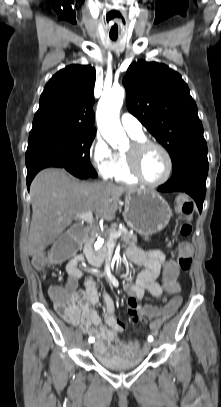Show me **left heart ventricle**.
I'll list each match as a JSON object with an SVG mask.
<instances>
[{
	"label": "left heart ventricle",
	"mask_w": 221,
	"mask_h": 407,
	"mask_svg": "<svg viewBox=\"0 0 221 407\" xmlns=\"http://www.w3.org/2000/svg\"><path fill=\"white\" fill-rule=\"evenodd\" d=\"M140 166L143 175L151 181L164 178L168 169L165 155L156 148L149 149L142 155Z\"/></svg>",
	"instance_id": "obj_1"
}]
</instances>
